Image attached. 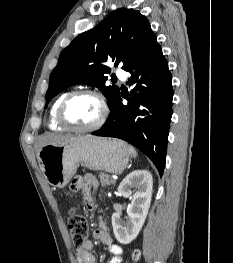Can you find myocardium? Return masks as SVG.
<instances>
[{
  "label": "myocardium",
  "mask_w": 233,
  "mask_h": 263,
  "mask_svg": "<svg viewBox=\"0 0 233 263\" xmlns=\"http://www.w3.org/2000/svg\"><path fill=\"white\" fill-rule=\"evenodd\" d=\"M81 96H91L98 100L100 106H101V114L97 122L91 126L88 127H77L70 123L65 115L66 108L68 104L75 98L81 97ZM108 104L106 102L105 97L94 90H78L69 93L60 103L57 111V120L58 122L66 129L80 132V133H90L99 130L105 123L107 115H108Z\"/></svg>",
  "instance_id": "obj_1"
}]
</instances>
